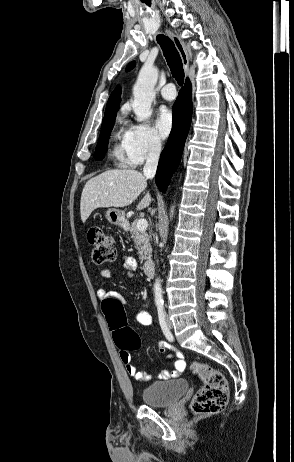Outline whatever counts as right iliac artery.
Masks as SVG:
<instances>
[{
	"instance_id": "1",
	"label": "right iliac artery",
	"mask_w": 294,
	"mask_h": 462,
	"mask_svg": "<svg viewBox=\"0 0 294 462\" xmlns=\"http://www.w3.org/2000/svg\"><path fill=\"white\" fill-rule=\"evenodd\" d=\"M165 317H166V315H165L164 309H162V308L158 309V318H159V323H160L161 329H162L164 335L166 336V338L169 341H173V335L170 332L169 328L167 327Z\"/></svg>"
}]
</instances>
